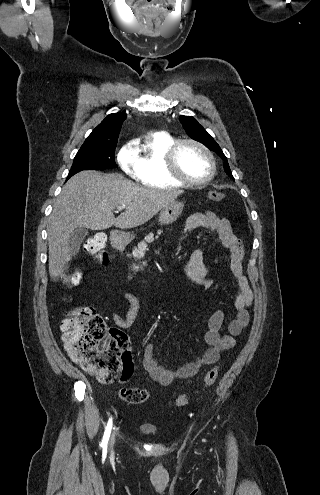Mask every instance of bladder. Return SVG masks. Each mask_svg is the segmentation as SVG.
I'll list each match as a JSON object with an SVG mask.
<instances>
[{"label": "bladder", "instance_id": "31cf9c89", "mask_svg": "<svg viewBox=\"0 0 320 495\" xmlns=\"http://www.w3.org/2000/svg\"><path fill=\"white\" fill-rule=\"evenodd\" d=\"M140 430L145 434H153L156 432V427L149 424H144L140 427Z\"/></svg>", "mask_w": 320, "mask_h": 495}]
</instances>
